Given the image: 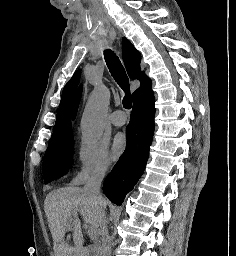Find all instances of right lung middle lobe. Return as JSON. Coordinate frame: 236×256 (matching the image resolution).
<instances>
[{
    "mask_svg": "<svg viewBox=\"0 0 236 256\" xmlns=\"http://www.w3.org/2000/svg\"><path fill=\"white\" fill-rule=\"evenodd\" d=\"M74 139L72 133L68 136L51 141L44 155V181L49 183L65 173L73 163Z\"/></svg>",
    "mask_w": 236,
    "mask_h": 256,
    "instance_id": "dd1d6c3e",
    "label": "right lung middle lobe"
}]
</instances>
